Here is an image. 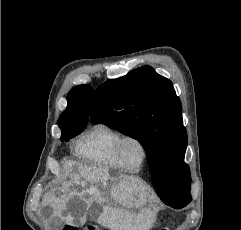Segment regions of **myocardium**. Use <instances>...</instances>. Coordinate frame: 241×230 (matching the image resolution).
<instances>
[{
    "instance_id": "obj_1",
    "label": "myocardium",
    "mask_w": 241,
    "mask_h": 230,
    "mask_svg": "<svg viewBox=\"0 0 241 230\" xmlns=\"http://www.w3.org/2000/svg\"><path fill=\"white\" fill-rule=\"evenodd\" d=\"M130 140L136 141L140 145V147L143 151L142 161L137 168L129 167L126 164V162L124 161L123 156H122L123 146L125 145L126 142H128ZM115 154H116V158H117L119 164L121 165V167L127 171L140 170L146 164L148 157H149V151H148V147H147L146 143L143 141V139H141L139 136L134 135V134H125L119 138V140L117 141V144H116Z\"/></svg>"
}]
</instances>
